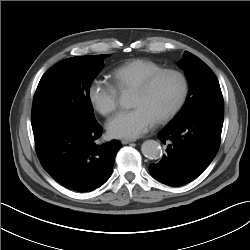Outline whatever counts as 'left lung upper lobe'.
<instances>
[{
	"label": "left lung upper lobe",
	"instance_id": "left-lung-upper-lobe-1",
	"mask_svg": "<svg viewBox=\"0 0 250 250\" xmlns=\"http://www.w3.org/2000/svg\"><path fill=\"white\" fill-rule=\"evenodd\" d=\"M179 66L186 72L190 90L183 108L172 122L183 120L213 105L223 104L218 79L201 59L185 51Z\"/></svg>",
	"mask_w": 250,
	"mask_h": 250
}]
</instances>
